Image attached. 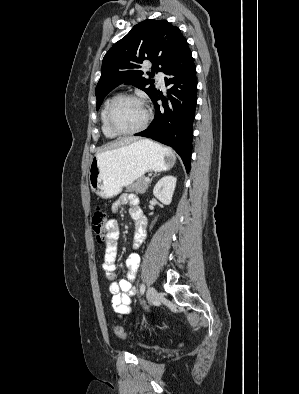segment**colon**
<instances>
[{"label":"colon","mask_w":299,"mask_h":394,"mask_svg":"<svg viewBox=\"0 0 299 394\" xmlns=\"http://www.w3.org/2000/svg\"><path fill=\"white\" fill-rule=\"evenodd\" d=\"M107 213L103 207L97 206L92 215V230L98 242H104L107 239ZM115 333L119 338L125 339L126 333L121 326H115Z\"/></svg>","instance_id":"5ec220e1"}]
</instances>
